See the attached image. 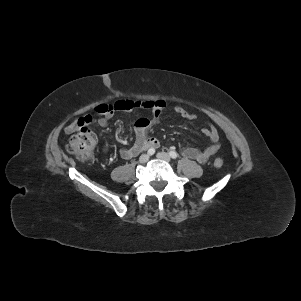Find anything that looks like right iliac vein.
I'll use <instances>...</instances> for the list:
<instances>
[{
    "label": "right iliac vein",
    "mask_w": 301,
    "mask_h": 301,
    "mask_svg": "<svg viewBox=\"0 0 301 301\" xmlns=\"http://www.w3.org/2000/svg\"><path fill=\"white\" fill-rule=\"evenodd\" d=\"M148 159H149V156H148L147 154H142V155L140 156V158H139V162H140L141 164H144V163L147 162Z\"/></svg>",
    "instance_id": "right-iliac-vein-1"
}]
</instances>
